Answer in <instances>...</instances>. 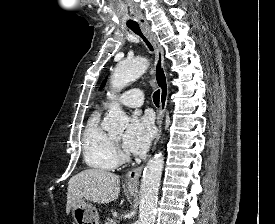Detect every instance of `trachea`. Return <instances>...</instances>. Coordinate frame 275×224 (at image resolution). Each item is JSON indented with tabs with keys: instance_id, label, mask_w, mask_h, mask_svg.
<instances>
[{
	"instance_id": "3493384b",
	"label": "trachea",
	"mask_w": 275,
	"mask_h": 224,
	"mask_svg": "<svg viewBox=\"0 0 275 224\" xmlns=\"http://www.w3.org/2000/svg\"><path fill=\"white\" fill-rule=\"evenodd\" d=\"M129 28L137 35H139L144 42L146 43V45L148 46V48L152 51L153 47L151 45V43L148 41V39L143 35L139 25H132L129 26ZM153 101L155 103L156 106L159 107V101H160V90H157L154 94H153Z\"/></svg>"
}]
</instances>
